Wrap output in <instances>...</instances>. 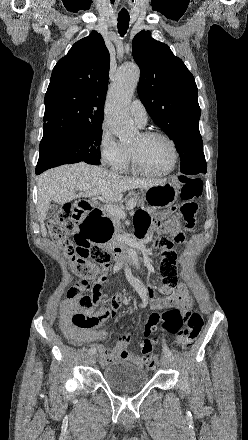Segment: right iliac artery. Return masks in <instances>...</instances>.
Here are the masks:
<instances>
[{"mask_svg": "<svg viewBox=\"0 0 248 440\" xmlns=\"http://www.w3.org/2000/svg\"><path fill=\"white\" fill-rule=\"evenodd\" d=\"M88 353H89V354H95V353H96V349H95V348H90V349L88 350Z\"/></svg>", "mask_w": 248, "mask_h": 440, "instance_id": "1", "label": "right iliac artery"}]
</instances>
